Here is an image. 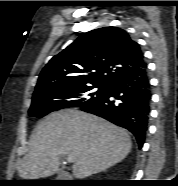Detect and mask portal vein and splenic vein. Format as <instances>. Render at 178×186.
Segmentation results:
<instances>
[{"label":"portal vein and splenic vein","instance_id":"obj_1","mask_svg":"<svg viewBox=\"0 0 178 186\" xmlns=\"http://www.w3.org/2000/svg\"><path fill=\"white\" fill-rule=\"evenodd\" d=\"M66 160H67L68 162H72V158H71V157H67Z\"/></svg>","mask_w":178,"mask_h":186}]
</instances>
